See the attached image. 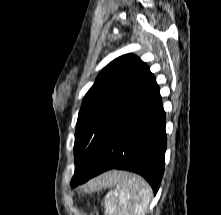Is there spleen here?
Wrapping results in <instances>:
<instances>
[{"label":"spleen","mask_w":221,"mask_h":215,"mask_svg":"<svg viewBox=\"0 0 221 215\" xmlns=\"http://www.w3.org/2000/svg\"><path fill=\"white\" fill-rule=\"evenodd\" d=\"M115 187L105 198L106 215H145L151 201V189L141 178L125 172H113L107 184Z\"/></svg>","instance_id":"3e777b00"}]
</instances>
